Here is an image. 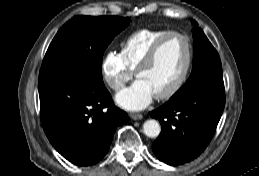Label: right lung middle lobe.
Returning a JSON list of instances; mask_svg holds the SVG:
<instances>
[{
  "label": "right lung middle lobe",
  "mask_w": 259,
  "mask_h": 176,
  "mask_svg": "<svg viewBox=\"0 0 259 176\" xmlns=\"http://www.w3.org/2000/svg\"><path fill=\"white\" fill-rule=\"evenodd\" d=\"M130 18L76 16L52 40L43 59L39 81L60 75H77L102 83V57L113 38Z\"/></svg>",
  "instance_id": "1"
}]
</instances>
